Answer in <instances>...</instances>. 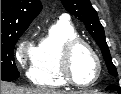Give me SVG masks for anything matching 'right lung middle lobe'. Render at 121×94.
I'll list each match as a JSON object with an SVG mask.
<instances>
[{"label": "right lung middle lobe", "instance_id": "obj_1", "mask_svg": "<svg viewBox=\"0 0 121 94\" xmlns=\"http://www.w3.org/2000/svg\"><path fill=\"white\" fill-rule=\"evenodd\" d=\"M24 31L1 33V80L13 81L20 76L14 62V47Z\"/></svg>", "mask_w": 121, "mask_h": 94}]
</instances>
